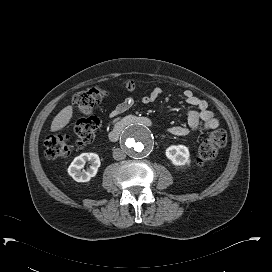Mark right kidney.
<instances>
[{"instance_id": "right-kidney-1", "label": "right kidney", "mask_w": 272, "mask_h": 272, "mask_svg": "<svg viewBox=\"0 0 272 272\" xmlns=\"http://www.w3.org/2000/svg\"><path fill=\"white\" fill-rule=\"evenodd\" d=\"M87 161L91 164L90 168L87 171H81ZM100 164V158L96 153H82L74 158L68 167V174L76 182H88L97 174Z\"/></svg>"}]
</instances>
